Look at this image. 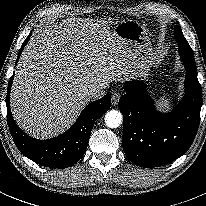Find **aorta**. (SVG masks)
Here are the masks:
<instances>
[{
    "label": "aorta",
    "instance_id": "1",
    "mask_svg": "<svg viewBox=\"0 0 206 206\" xmlns=\"http://www.w3.org/2000/svg\"><path fill=\"white\" fill-rule=\"evenodd\" d=\"M122 122V114L117 110H110L105 115V123L110 128H117Z\"/></svg>",
    "mask_w": 206,
    "mask_h": 206
}]
</instances>
